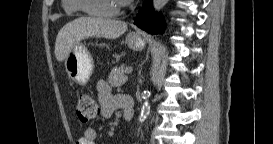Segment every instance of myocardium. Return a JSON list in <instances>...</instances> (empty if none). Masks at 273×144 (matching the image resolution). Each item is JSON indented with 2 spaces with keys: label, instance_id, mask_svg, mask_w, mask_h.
<instances>
[{
  "label": "myocardium",
  "instance_id": "f54148a6",
  "mask_svg": "<svg viewBox=\"0 0 273 144\" xmlns=\"http://www.w3.org/2000/svg\"><path fill=\"white\" fill-rule=\"evenodd\" d=\"M75 1L79 10L83 11L84 13L88 15L112 16L114 14H117L120 11V7L118 6L112 10H99V9H94L89 5L90 0H75Z\"/></svg>",
  "mask_w": 273,
  "mask_h": 144
}]
</instances>
